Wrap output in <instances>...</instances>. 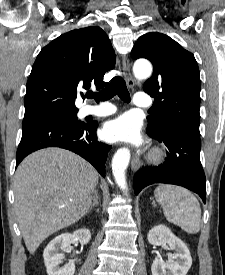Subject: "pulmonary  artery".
<instances>
[{
  "label": "pulmonary artery",
  "instance_id": "e3ab8cb5",
  "mask_svg": "<svg viewBox=\"0 0 225 275\" xmlns=\"http://www.w3.org/2000/svg\"><path fill=\"white\" fill-rule=\"evenodd\" d=\"M134 103L138 107L149 108L152 105V99L143 92H138L135 95ZM116 108L110 104H103L98 107L88 106L83 110L84 115H95V116H107L113 114Z\"/></svg>",
  "mask_w": 225,
  "mask_h": 275
}]
</instances>
